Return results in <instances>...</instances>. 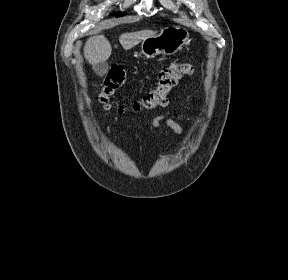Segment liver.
<instances>
[{
	"label": "liver",
	"mask_w": 288,
	"mask_h": 280,
	"mask_svg": "<svg viewBox=\"0 0 288 280\" xmlns=\"http://www.w3.org/2000/svg\"><path fill=\"white\" fill-rule=\"evenodd\" d=\"M156 34L153 30H142L132 33H123L119 37L120 44L125 50L139 44L141 41ZM84 56L90 64L105 62L112 53L110 42L104 35H95L90 37L84 46Z\"/></svg>",
	"instance_id": "liver-1"
}]
</instances>
